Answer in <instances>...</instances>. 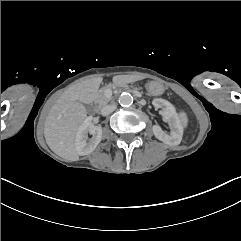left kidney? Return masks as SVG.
Here are the masks:
<instances>
[{"label": "left kidney", "mask_w": 241, "mask_h": 241, "mask_svg": "<svg viewBox=\"0 0 241 241\" xmlns=\"http://www.w3.org/2000/svg\"><path fill=\"white\" fill-rule=\"evenodd\" d=\"M152 104L154 107L161 109L162 119L168 123L172 135L169 137L160 125H153L152 131L154 136L168 146L179 145L182 140L183 131L176 120L174 108L169 102L162 99H154Z\"/></svg>", "instance_id": "left-kidney-1"}]
</instances>
